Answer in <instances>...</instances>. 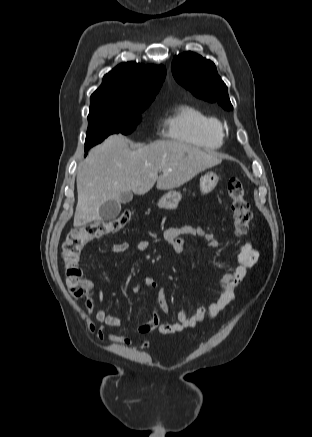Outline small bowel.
I'll return each mask as SVG.
<instances>
[{"instance_id": "obj_1", "label": "small bowel", "mask_w": 312, "mask_h": 437, "mask_svg": "<svg viewBox=\"0 0 312 437\" xmlns=\"http://www.w3.org/2000/svg\"><path fill=\"white\" fill-rule=\"evenodd\" d=\"M187 238H199L211 248L218 249L222 247V242L216 235L206 232L201 227L190 225L175 226L167 228L164 232V239L172 246L176 253H182L185 250ZM133 247L137 251H145L148 247V242L143 239H138L133 243ZM129 248V242H118L112 245L110 253L121 254L126 252ZM258 258L259 253L253 247L251 242L243 241L237 256V266L232 272L225 273L219 280L221 287L220 295L209 304L198 307L193 315H189L185 309H180L177 313V321L175 322L162 323L160 321L159 311L161 310L165 314L169 312L164 291H160L155 299L151 316L135 328L136 332L139 334H176L185 328L196 327L207 318L216 317L234 301L236 287L245 277L247 272L257 263ZM141 284L149 288L157 287V282L149 277L143 278ZM89 286L93 293L86 300L84 307L88 332L95 335L100 341L108 340L116 344L131 346L133 341L129 337L108 330L109 327L122 329L125 328V325L120 317L108 314L104 309H96V303L103 302L104 295L100 290L94 292V287L91 283ZM139 290L140 284H136L132 287V291L135 293L139 292ZM93 313L95 314L96 321L101 324L98 328L91 320V315ZM150 344V341L145 340L140 343V347L147 348Z\"/></svg>"}]
</instances>
